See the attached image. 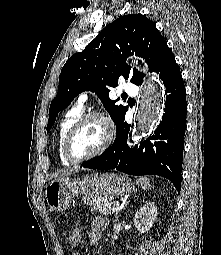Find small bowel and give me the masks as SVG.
Here are the masks:
<instances>
[{
	"label": "small bowel",
	"mask_w": 221,
	"mask_h": 255,
	"mask_svg": "<svg viewBox=\"0 0 221 255\" xmlns=\"http://www.w3.org/2000/svg\"><path fill=\"white\" fill-rule=\"evenodd\" d=\"M108 225V221L104 217H96L93 220L91 232L89 235V242L95 245L99 242L102 236V230ZM70 246L73 249H78L82 243V236L79 230H75L69 237ZM72 255H79L78 252H73Z\"/></svg>",
	"instance_id": "1"
}]
</instances>
